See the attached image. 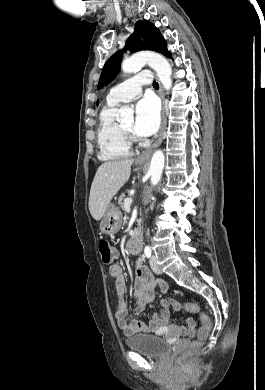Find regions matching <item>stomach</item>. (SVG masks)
Instances as JSON below:
<instances>
[{
  "label": "stomach",
  "mask_w": 265,
  "mask_h": 390,
  "mask_svg": "<svg viewBox=\"0 0 265 390\" xmlns=\"http://www.w3.org/2000/svg\"><path fill=\"white\" fill-rule=\"evenodd\" d=\"M138 165L142 166V164ZM121 222V213L119 209L115 205L110 204L101 218L100 230L106 235L115 234L119 231Z\"/></svg>",
  "instance_id": "1"
}]
</instances>
